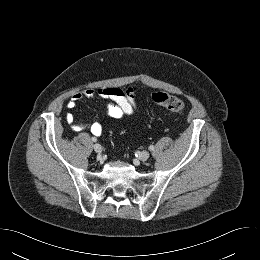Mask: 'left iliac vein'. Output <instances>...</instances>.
<instances>
[{
	"mask_svg": "<svg viewBox=\"0 0 260 260\" xmlns=\"http://www.w3.org/2000/svg\"><path fill=\"white\" fill-rule=\"evenodd\" d=\"M150 156V153L148 151H142L140 154H139V160L140 161H146Z\"/></svg>",
	"mask_w": 260,
	"mask_h": 260,
	"instance_id": "4c4485c4",
	"label": "left iliac vein"
}]
</instances>
